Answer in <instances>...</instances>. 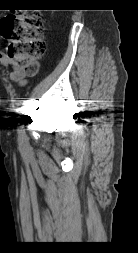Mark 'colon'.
Here are the masks:
<instances>
[{"label": "colon", "mask_w": 138, "mask_h": 253, "mask_svg": "<svg viewBox=\"0 0 138 253\" xmlns=\"http://www.w3.org/2000/svg\"><path fill=\"white\" fill-rule=\"evenodd\" d=\"M43 21L35 14H10L0 22V32L8 41L7 53L28 74L36 71V61L46 52Z\"/></svg>", "instance_id": "colon-1"}]
</instances>
